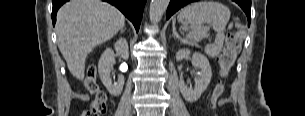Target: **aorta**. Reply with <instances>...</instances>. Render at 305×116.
Masks as SVG:
<instances>
[{
	"instance_id": "762f6f07",
	"label": "aorta",
	"mask_w": 305,
	"mask_h": 116,
	"mask_svg": "<svg viewBox=\"0 0 305 116\" xmlns=\"http://www.w3.org/2000/svg\"><path fill=\"white\" fill-rule=\"evenodd\" d=\"M169 4V0H151L149 16L152 24L156 25L160 22Z\"/></svg>"
}]
</instances>
